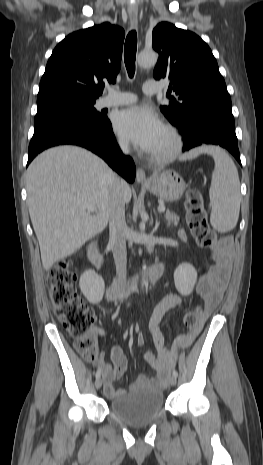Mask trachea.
I'll return each instance as SVG.
<instances>
[{"label":"trachea","mask_w":263,"mask_h":465,"mask_svg":"<svg viewBox=\"0 0 263 465\" xmlns=\"http://www.w3.org/2000/svg\"><path fill=\"white\" fill-rule=\"evenodd\" d=\"M137 50V33L135 30L129 32L124 45V61L130 78L135 73V59Z\"/></svg>","instance_id":"3493384b"}]
</instances>
